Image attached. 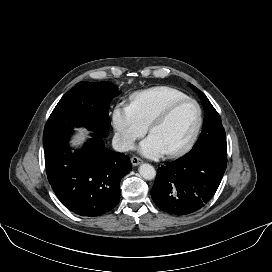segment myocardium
<instances>
[{"label":"myocardium","instance_id":"obj_1","mask_svg":"<svg viewBox=\"0 0 272 272\" xmlns=\"http://www.w3.org/2000/svg\"><path fill=\"white\" fill-rule=\"evenodd\" d=\"M185 103H192L196 106L197 109V121H196V125L195 128L192 132V134L190 135V137L188 138V140L179 148L169 151V152H165V156L172 158V157H177L180 156L182 154H184L185 152H187L191 146L194 144V142L196 141L202 124H203V112H202V108L200 106V104L193 98L190 97H185L182 99H178L175 100L173 102H171L170 104H168L162 111H160L149 123V125L147 126V130L148 133L150 134L151 131L158 126L159 124L163 123L164 121H166L170 115L181 105L185 104Z\"/></svg>","mask_w":272,"mask_h":272}]
</instances>
